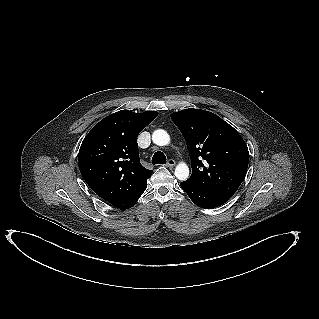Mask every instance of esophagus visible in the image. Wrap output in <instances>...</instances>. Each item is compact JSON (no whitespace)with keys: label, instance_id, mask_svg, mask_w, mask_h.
Instances as JSON below:
<instances>
[{"label":"esophagus","instance_id":"1","mask_svg":"<svg viewBox=\"0 0 319 319\" xmlns=\"http://www.w3.org/2000/svg\"><path fill=\"white\" fill-rule=\"evenodd\" d=\"M175 165H176V162H175V160H173V159H169V160L167 161V163H166V166L169 167V168H172V167H174Z\"/></svg>","mask_w":319,"mask_h":319}]
</instances>
